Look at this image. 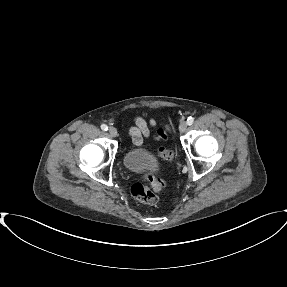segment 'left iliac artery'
<instances>
[{
    "label": "left iliac artery",
    "instance_id": "1",
    "mask_svg": "<svg viewBox=\"0 0 287 287\" xmlns=\"http://www.w3.org/2000/svg\"><path fill=\"white\" fill-rule=\"evenodd\" d=\"M193 122H194V118L193 117H188L187 124L188 125H192Z\"/></svg>",
    "mask_w": 287,
    "mask_h": 287
}]
</instances>
